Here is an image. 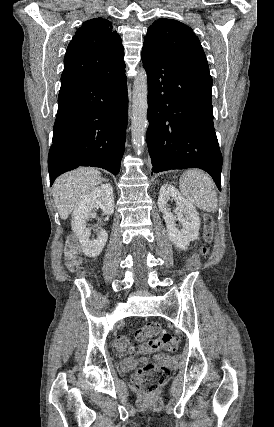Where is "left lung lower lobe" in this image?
I'll return each mask as SVG.
<instances>
[{
    "label": "left lung lower lobe",
    "instance_id": "left-lung-lower-lobe-1",
    "mask_svg": "<svg viewBox=\"0 0 274 427\" xmlns=\"http://www.w3.org/2000/svg\"><path fill=\"white\" fill-rule=\"evenodd\" d=\"M142 61L148 80L151 174L200 168L221 190L222 155L213 126L210 74L178 64L148 43Z\"/></svg>",
    "mask_w": 274,
    "mask_h": 427
}]
</instances>
